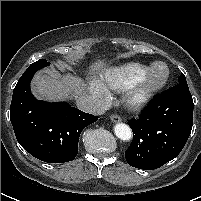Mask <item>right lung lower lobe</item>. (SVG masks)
Wrapping results in <instances>:
<instances>
[{
    "label": "right lung lower lobe",
    "mask_w": 201,
    "mask_h": 201,
    "mask_svg": "<svg viewBox=\"0 0 201 201\" xmlns=\"http://www.w3.org/2000/svg\"><path fill=\"white\" fill-rule=\"evenodd\" d=\"M42 67L29 66L20 77L13 91L10 120L19 144L33 157L48 163L72 161L82 130L98 117L66 102L37 100L30 91V81Z\"/></svg>",
    "instance_id": "98d812e1"
}]
</instances>
